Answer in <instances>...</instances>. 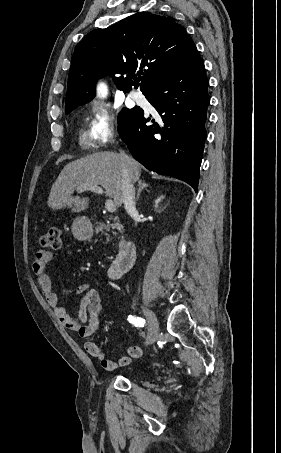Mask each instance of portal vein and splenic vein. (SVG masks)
<instances>
[{
  "label": "portal vein and splenic vein",
  "instance_id": "18ae733b",
  "mask_svg": "<svg viewBox=\"0 0 281 453\" xmlns=\"http://www.w3.org/2000/svg\"><path fill=\"white\" fill-rule=\"evenodd\" d=\"M76 190L78 192H83V190H92V192H98V194H103L104 190L101 188V186H98V184H86V186H77ZM105 208L108 210V212H115L116 206L111 200V198H108L105 202Z\"/></svg>",
  "mask_w": 281,
  "mask_h": 453
}]
</instances>
